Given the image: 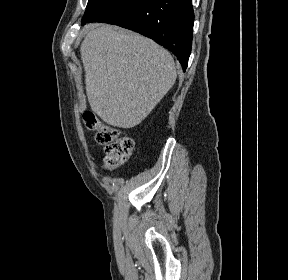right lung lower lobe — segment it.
<instances>
[{
    "instance_id": "obj_1",
    "label": "right lung lower lobe",
    "mask_w": 288,
    "mask_h": 280,
    "mask_svg": "<svg viewBox=\"0 0 288 280\" xmlns=\"http://www.w3.org/2000/svg\"><path fill=\"white\" fill-rule=\"evenodd\" d=\"M104 22L136 31L170 50L185 71L191 53V0H114L82 21Z\"/></svg>"
}]
</instances>
